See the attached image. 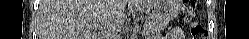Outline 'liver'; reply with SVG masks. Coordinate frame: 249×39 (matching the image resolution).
<instances>
[{
    "mask_svg": "<svg viewBox=\"0 0 249 39\" xmlns=\"http://www.w3.org/2000/svg\"><path fill=\"white\" fill-rule=\"evenodd\" d=\"M127 0H41L39 39H94V28H118ZM99 25V26H97Z\"/></svg>",
    "mask_w": 249,
    "mask_h": 39,
    "instance_id": "1",
    "label": "liver"
}]
</instances>
